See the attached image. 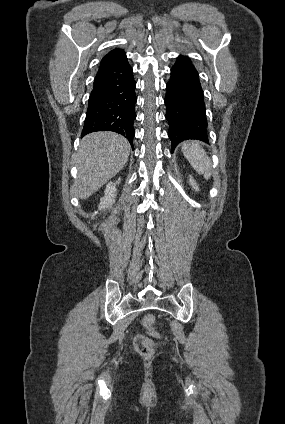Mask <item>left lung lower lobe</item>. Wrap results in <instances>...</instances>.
I'll return each instance as SVG.
<instances>
[{"label": "left lung lower lobe", "instance_id": "0a47b994", "mask_svg": "<svg viewBox=\"0 0 285 424\" xmlns=\"http://www.w3.org/2000/svg\"><path fill=\"white\" fill-rule=\"evenodd\" d=\"M166 119L172 150L188 139L208 142L207 119L199 74L187 56L180 55L166 84Z\"/></svg>", "mask_w": 285, "mask_h": 424}]
</instances>
